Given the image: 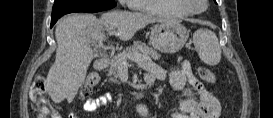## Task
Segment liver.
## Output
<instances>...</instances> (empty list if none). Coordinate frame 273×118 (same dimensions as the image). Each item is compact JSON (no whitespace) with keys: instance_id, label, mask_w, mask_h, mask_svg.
<instances>
[{"instance_id":"6515ba94","label":"liver","mask_w":273,"mask_h":118,"mask_svg":"<svg viewBox=\"0 0 273 118\" xmlns=\"http://www.w3.org/2000/svg\"><path fill=\"white\" fill-rule=\"evenodd\" d=\"M166 21L169 20L126 11L108 12L101 18L91 14L63 17L55 30L56 57L45 84L48 94L55 103L73 101L94 58L90 44L104 41L105 30H113L120 40L127 41L148 24Z\"/></svg>"}]
</instances>
